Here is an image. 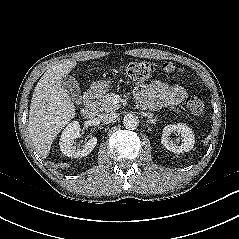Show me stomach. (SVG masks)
<instances>
[{"mask_svg":"<svg viewBox=\"0 0 239 239\" xmlns=\"http://www.w3.org/2000/svg\"><path fill=\"white\" fill-rule=\"evenodd\" d=\"M109 87V82L104 80L95 81L91 85V89L96 93H103Z\"/></svg>","mask_w":239,"mask_h":239,"instance_id":"stomach-1","label":"stomach"}]
</instances>
